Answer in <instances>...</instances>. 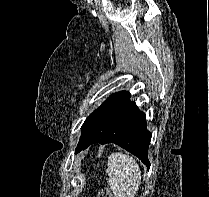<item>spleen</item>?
Returning <instances> with one entry per match:
<instances>
[{
  "label": "spleen",
  "instance_id": "3e777b00",
  "mask_svg": "<svg viewBox=\"0 0 209 197\" xmlns=\"http://www.w3.org/2000/svg\"><path fill=\"white\" fill-rule=\"evenodd\" d=\"M108 184L115 197H134L141 184V170L136 160L115 152L108 158Z\"/></svg>",
  "mask_w": 209,
  "mask_h": 197
}]
</instances>
